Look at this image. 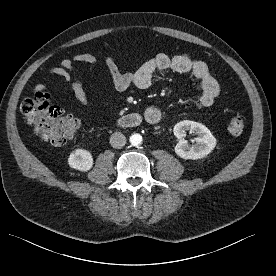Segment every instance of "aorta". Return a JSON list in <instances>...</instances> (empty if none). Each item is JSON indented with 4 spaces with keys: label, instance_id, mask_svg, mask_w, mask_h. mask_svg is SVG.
Masks as SVG:
<instances>
[{
    "label": "aorta",
    "instance_id": "762f6f07",
    "mask_svg": "<svg viewBox=\"0 0 276 276\" xmlns=\"http://www.w3.org/2000/svg\"><path fill=\"white\" fill-rule=\"evenodd\" d=\"M130 143L133 146H138L142 143V136L140 134H133L130 137Z\"/></svg>",
    "mask_w": 276,
    "mask_h": 276
}]
</instances>
